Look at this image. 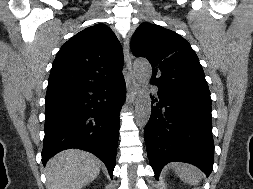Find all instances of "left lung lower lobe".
Instances as JSON below:
<instances>
[{"label":"left lung lower lobe","instance_id":"left-lung-lower-lobe-1","mask_svg":"<svg viewBox=\"0 0 253 189\" xmlns=\"http://www.w3.org/2000/svg\"><path fill=\"white\" fill-rule=\"evenodd\" d=\"M144 135L156 179L169 162H187L207 176L213 169L211 105L159 88Z\"/></svg>","mask_w":253,"mask_h":189}]
</instances>
